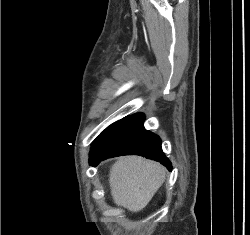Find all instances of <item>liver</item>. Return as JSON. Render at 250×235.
<instances>
[{"mask_svg":"<svg viewBox=\"0 0 250 235\" xmlns=\"http://www.w3.org/2000/svg\"><path fill=\"white\" fill-rule=\"evenodd\" d=\"M165 168L154 161L137 156L119 158L111 167L109 183L117 206L139 212L162 185Z\"/></svg>","mask_w":250,"mask_h":235,"instance_id":"1","label":"liver"}]
</instances>
